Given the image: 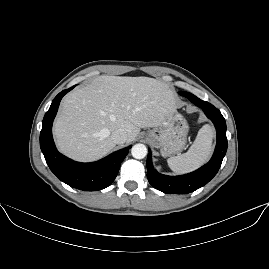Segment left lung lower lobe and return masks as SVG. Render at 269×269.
Returning <instances> with one entry per match:
<instances>
[{
  "label": "left lung lower lobe",
  "instance_id": "0a47b994",
  "mask_svg": "<svg viewBox=\"0 0 269 269\" xmlns=\"http://www.w3.org/2000/svg\"><path fill=\"white\" fill-rule=\"evenodd\" d=\"M193 103L203 109L216 127L215 152L211 160L198 170L181 176H167L158 173L153 168L151 151L149 150L146 163L148 181L154 188L167 194H187L207 184L218 172L227 151L226 122L221 112L212 104L199 98H196Z\"/></svg>",
  "mask_w": 269,
  "mask_h": 269
}]
</instances>
